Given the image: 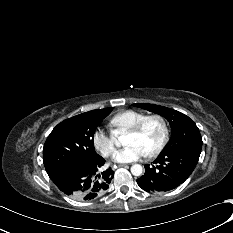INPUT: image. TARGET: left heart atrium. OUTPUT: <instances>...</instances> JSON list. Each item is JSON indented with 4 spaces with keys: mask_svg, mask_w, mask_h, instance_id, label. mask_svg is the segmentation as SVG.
Instances as JSON below:
<instances>
[{
    "mask_svg": "<svg viewBox=\"0 0 233 233\" xmlns=\"http://www.w3.org/2000/svg\"><path fill=\"white\" fill-rule=\"evenodd\" d=\"M146 152L137 144L132 143L114 154V160L120 163H129L146 156Z\"/></svg>",
    "mask_w": 233,
    "mask_h": 233,
    "instance_id": "39dd6f15",
    "label": "left heart atrium"
}]
</instances>
